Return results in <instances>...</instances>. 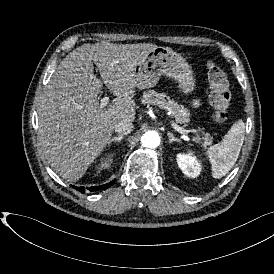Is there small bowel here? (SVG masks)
Returning <instances> with one entry per match:
<instances>
[{"mask_svg": "<svg viewBox=\"0 0 274 274\" xmlns=\"http://www.w3.org/2000/svg\"><path fill=\"white\" fill-rule=\"evenodd\" d=\"M192 104H193V106H197V104H198L197 100H194Z\"/></svg>", "mask_w": 274, "mask_h": 274, "instance_id": "c3829d8e", "label": "small bowel"}]
</instances>
